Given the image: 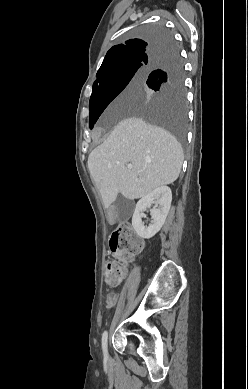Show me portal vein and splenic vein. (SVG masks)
Masks as SVG:
<instances>
[{"label": "portal vein and splenic vein", "mask_w": 248, "mask_h": 389, "mask_svg": "<svg viewBox=\"0 0 248 389\" xmlns=\"http://www.w3.org/2000/svg\"><path fill=\"white\" fill-rule=\"evenodd\" d=\"M127 168H128V169H132V165H131V164H128V165H127Z\"/></svg>", "instance_id": "obj_1"}]
</instances>
